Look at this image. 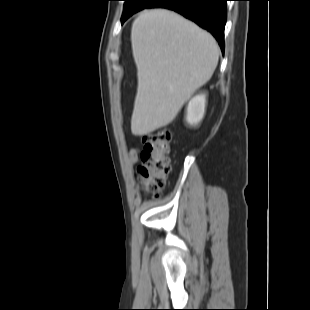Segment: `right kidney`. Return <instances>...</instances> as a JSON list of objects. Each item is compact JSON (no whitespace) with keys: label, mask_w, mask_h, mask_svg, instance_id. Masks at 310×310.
I'll return each mask as SVG.
<instances>
[{"label":"right kidney","mask_w":310,"mask_h":310,"mask_svg":"<svg viewBox=\"0 0 310 310\" xmlns=\"http://www.w3.org/2000/svg\"><path fill=\"white\" fill-rule=\"evenodd\" d=\"M206 109V94L200 93L192 97L186 108L185 120L190 126H197L203 119Z\"/></svg>","instance_id":"obj_1"}]
</instances>
